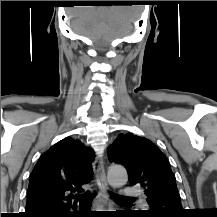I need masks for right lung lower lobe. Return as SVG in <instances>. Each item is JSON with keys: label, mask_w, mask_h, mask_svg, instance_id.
Here are the masks:
<instances>
[{"label": "right lung lower lobe", "mask_w": 217, "mask_h": 217, "mask_svg": "<svg viewBox=\"0 0 217 217\" xmlns=\"http://www.w3.org/2000/svg\"><path fill=\"white\" fill-rule=\"evenodd\" d=\"M59 217H78V214H73V213H71V214L61 215V216H59Z\"/></svg>", "instance_id": "obj_1"}]
</instances>
